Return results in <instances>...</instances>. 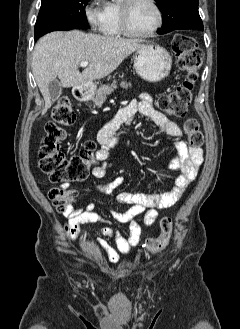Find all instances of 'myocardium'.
<instances>
[{"mask_svg": "<svg viewBox=\"0 0 240 329\" xmlns=\"http://www.w3.org/2000/svg\"><path fill=\"white\" fill-rule=\"evenodd\" d=\"M149 3L154 7L157 14V22L153 28L146 32H136L130 27V13L133 5L137 0H122L120 7V21L121 29L125 36L134 38H147L153 36L163 25L164 15L161 7L156 0H148Z\"/></svg>", "mask_w": 240, "mask_h": 329, "instance_id": "obj_1", "label": "myocardium"}]
</instances>
